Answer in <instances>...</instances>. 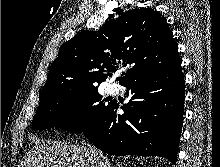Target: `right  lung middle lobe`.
Wrapping results in <instances>:
<instances>
[{
    "instance_id": "dd1d6c3e",
    "label": "right lung middle lobe",
    "mask_w": 220,
    "mask_h": 167,
    "mask_svg": "<svg viewBox=\"0 0 220 167\" xmlns=\"http://www.w3.org/2000/svg\"><path fill=\"white\" fill-rule=\"evenodd\" d=\"M98 86L61 91L39 103L33 128H61L81 133L91 127L108 108Z\"/></svg>"
}]
</instances>
